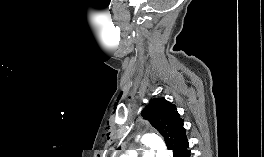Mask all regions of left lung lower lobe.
Returning a JSON list of instances; mask_svg holds the SVG:
<instances>
[{
    "instance_id": "obj_1",
    "label": "left lung lower lobe",
    "mask_w": 264,
    "mask_h": 157,
    "mask_svg": "<svg viewBox=\"0 0 264 157\" xmlns=\"http://www.w3.org/2000/svg\"><path fill=\"white\" fill-rule=\"evenodd\" d=\"M189 143L188 139L182 141L173 151V157H191V151L188 149Z\"/></svg>"
}]
</instances>
